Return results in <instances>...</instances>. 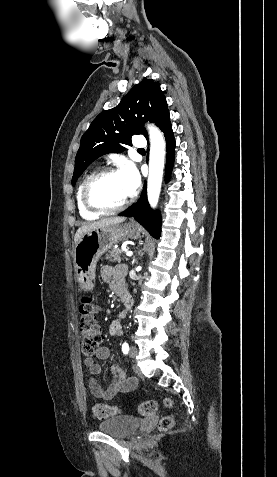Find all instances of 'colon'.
<instances>
[{"instance_id":"5ec220e1","label":"colon","mask_w":277,"mask_h":477,"mask_svg":"<svg viewBox=\"0 0 277 477\" xmlns=\"http://www.w3.org/2000/svg\"><path fill=\"white\" fill-rule=\"evenodd\" d=\"M81 320H80V339L82 352L87 357L93 356L98 350L102 341V332L99 325L95 321L97 313V306L95 305L93 298L90 296H84L82 298L79 307ZM164 404L168 407L172 406V400L167 398ZM158 404L154 400L144 401L139 406V412L142 415H152L157 411ZM93 413L99 419H105L112 415L119 413V409L116 407L108 406L106 404H96L93 406ZM174 425L172 417H163L159 422V430L167 431Z\"/></svg>"}]
</instances>
